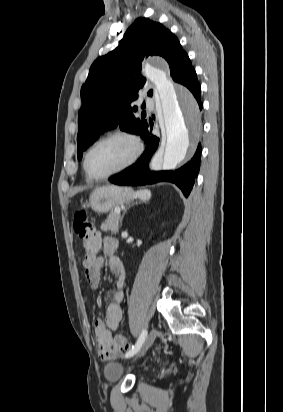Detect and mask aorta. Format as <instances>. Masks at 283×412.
I'll return each mask as SVG.
<instances>
[{"instance_id": "762f6f07", "label": "aorta", "mask_w": 283, "mask_h": 412, "mask_svg": "<svg viewBox=\"0 0 283 412\" xmlns=\"http://www.w3.org/2000/svg\"><path fill=\"white\" fill-rule=\"evenodd\" d=\"M143 73L160 99L166 139L162 169L171 170L184 160L196 140L198 107L191 93L185 88L176 90L163 70L145 65Z\"/></svg>"}]
</instances>
